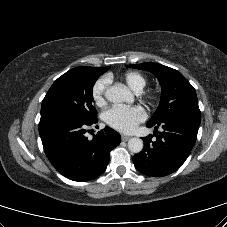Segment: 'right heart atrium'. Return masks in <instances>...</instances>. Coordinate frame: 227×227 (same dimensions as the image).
<instances>
[{
    "label": "right heart atrium",
    "mask_w": 227,
    "mask_h": 227,
    "mask_svg": "<svg viewBox=\"0 0 227 227\" xmlns=\"http://www.w3.org/2000/svg\"><path fill=\"white\" fill-rule=\"evenodd\" d=\"M108 85H109L108 77H102L94 83L91 94H92V99L96 105L101 106L104 104L105 94H106Z\"/></svg>",
    "instance_id": "obj_1"
}]
</instances>
